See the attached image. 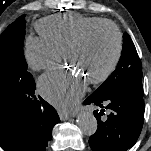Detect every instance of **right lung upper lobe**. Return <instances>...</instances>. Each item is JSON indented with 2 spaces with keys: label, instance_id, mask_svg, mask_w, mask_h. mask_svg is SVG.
<instances>
[{
  "label": "right lung upper lobe",
  "instance_id": "cb5924a9",
  "mask_svg": "<svg viewBox=\"0 0 151 151\" xmlns=\"http://www.w3.org/2000/svg\"><path fill=\"white\" fill-rule=\"evenodd\" d=\"M23 112L20 106L0 100V146L5 151H18L22 139Z\"/></svg>",
  "mask_w": 151,
  "mask_h": 151
}]
</instances>
